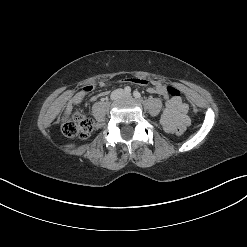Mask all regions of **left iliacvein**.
I'll return each mask as SVG.
<instances>
[{
  "label": "left iliac vein",
  "mask_w": 247,
  "mask_h": 247,
  "mask_svg": "<svg viewBox=\"0 0 247 247\" xmlns=\"http://www.w3.org/2000/svg\"><path fill=\"white\" fill-rule=\"evenodd\" d=\"M123 96L129 98V97H131V94L130 93H124Z\"/></svg>",
  "instance_id": "1"
}]
</instances>
